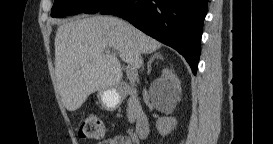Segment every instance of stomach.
<instances>
[{"mask_svg":"<svg viewBox=\"0 0 273 144\" xmlns=\"http://www.w3.org/2000/svg\"><path fill=\"white\" fill-rule=\"evenodd\" d=\"M97 97L101 106L107 111L116 110L122 102V94L117 89L101 90Z\"/></svg>","mask_w":273,"mask_h":144,"instance_id":"1","label":"stomach"}]
</instances>
